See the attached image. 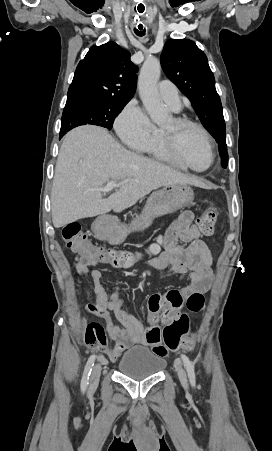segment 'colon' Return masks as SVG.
Here are the masks:
<instances>
[{
  "mask_svg": "<svg viewBox=\"0 0 272 451\" xmlns=\"http://www.w3.org/2000/svg\"><path fill=\"white\" fill-rule=\"evenodd\" d=\"M217 212L209 206L207 210L198 217L197 227L203 233L205 239H210L214 232V225ZM62 239L67 248L79 250L81 256H102L108 258L111 268H120L132 263L133 255L120 250H108L106 247H93L92 241H86L87 235L82 231L81 226L75 222H69L62 230ZM80 271H85L87 266L93 265L92 259H76L72 262ZM207 298H202L199 294H194L187 300L188 313H203L207 307ZM189 330V318L186 314H181L177 319L167 323L163 327L150 325L146 329L145 348H153L155 354L166 357L178 350L179 347H196V338H183ZM85 344L89 347L106 346L108 337L107 331L101 322L91 321L88 323L85 335Z\"/></svg>",
  "mask_w": 272,
  "mask_h": 451,
  "instance_id": "colon-1",
  "label": "colon"
}]
</instances>
